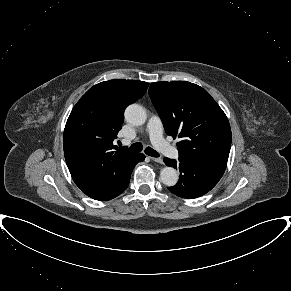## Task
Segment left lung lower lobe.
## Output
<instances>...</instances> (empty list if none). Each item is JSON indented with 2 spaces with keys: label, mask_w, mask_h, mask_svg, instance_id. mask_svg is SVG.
I'll use <instances>...</instances> for the list:
<instances>
[{
  "label": "left lung lower lobe",
  "mask_w": 291,
  "mask_h": 291,
  "mask_svg": "<svg viewBox=\"0 0 291 291\" xmlns=\"http://www.w3.org/2000/svg\"><path fill=\"white\" fill-rule=\"evenodd\" d=\"M167 166L180 172V179L168 190L180 197L194 199L209 192L221 179L227 162L212 159L180 157L178 161L164 158Z\"/></svg>",
  "instance_id": "left-lung-lower-lobe-1"
}]
</instances>
